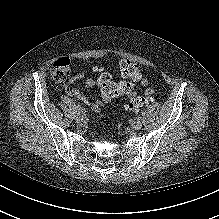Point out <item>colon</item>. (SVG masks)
<instances>
[{"label":"colon","mask_w":219,"mask_h":219,"mask_svg":"<svg viewBox=\"0 0 219 219\" xmlns=\"http://www.w3.org/2000/svg\"><path fill=\"white\" fill-rule=\"evenodd\" d=\"M120 71L125 80L115 82L109 73L101 69L95 70L98 73L97 83L104 103L119 96H127L128 102L125 108L132 113L149 102L153 91H148L144 95H138L134 92L135 85L141 76L140 68L136 64L124 60L120 63ZM70 72L71 63L66 57L56 60L51 68V75L57 82L67 79Z\"/></svg>","instance_id":"1"}]
</instances>
